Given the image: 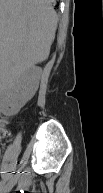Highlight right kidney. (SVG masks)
<instances>
[{
  "instance_id": "1",
  "label": "right kidney",
  "mask_w": 103,
  "mask_h": 193,
  "mask_svg": "<svg viewBox=\"0 0 103 193\" xmlns=\"http://www.w3.org/2000/svg\"><path fill=\"white\" fill-rule=\"evenodd\" d=\"M42 69L32 67L21 75L1 82L0 110L5 116H14L36 93Z\"/></svg>"
}]
</instances>
